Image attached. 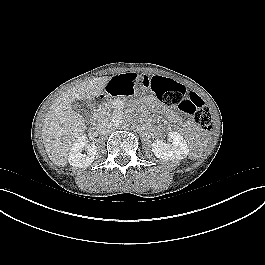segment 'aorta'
<instances>
[{
    "instance_id": "1",
    "label": "aorta",
    "mask_w": 265,
    "mask_h": 265,
    "mask_svg": "<svg viewBox=\"0 0 265 265\" xmlns=\"http://www.w3.org/2000/svg\"><path fill=\"white\" fill-rule=\"evenodd\" d=\"M121 113H115L111 117V122L113 126L120 127L123 124V117L120 115Z\"/></svg>"
}]
</instances>
